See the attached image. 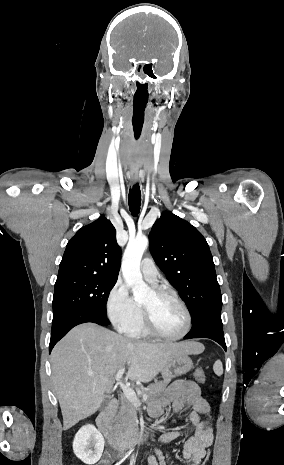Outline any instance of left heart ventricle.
<instances>
[{
  "mask_svg": "<svg viewBox=\"0 0 284 465\" xmlns=\"http://www.w3.org/2000/svg\"><path fill=\"white\" fill-rule=\"evenodd\" d=\"M151 312L152 325L156 333L165 337L180 335L186 325L182 309L173 301L152 295L141 305Z\"/></svg>",
  "mask_w": 284,
  "mask_h": 465,
  "instance_id": "1",
  "label": "left heart ventricle"
}]
</instances>
